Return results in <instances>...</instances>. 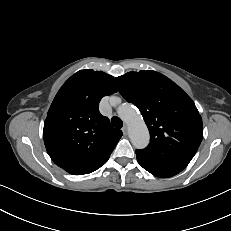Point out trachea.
I'll use <instances>...</instances> for the list:
<instances>
[{
  "instance_id": "obj_1",
  "label": "trachea",
  "mask_w": 231,
  "mask_h": 231,
  "mask_svg": "<svg viewBox=\"0 0 231 231\" xmlns=\"http://www.w3.org/2000/svg\"><path fill=\"white\" fill-rule=\"evenodd\" d=\"M111 122H112L113 126L116 128L120 129L123 126L122 120L117 116L112 117Z\"/></svg>"
}]
</instances>
